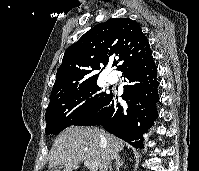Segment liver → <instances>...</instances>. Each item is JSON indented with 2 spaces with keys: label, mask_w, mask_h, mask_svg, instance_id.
I'll list each match as a JSON object with an SVG mask.
<instances>
[{
  "label": "liver",
  "mask_w": 199,
  "mask_h": 171,
  "mask_svg": "<svg viewBox=\"0 0 199 171\" xmlns=\"http://www.w3.org/2000/svg\"><path fill=\"white\" fill-rule=\"evenodd\" d=\"M125 142L94 127L71 126L56 138L50 155L49 168L74 171L83 161L95 162L99 171H108L107 164L118 156Z\"/></svg>",
  "instance_id": "obj_1"
}]
</instances>
